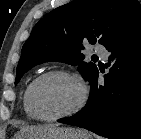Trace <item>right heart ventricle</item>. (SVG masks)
<instances>
[{"label": "right heart ventricle", "instance_id": "obj_1", "mask_svg": "<svg viewBox=\"0 0 141 139\" xmlns=\"http://www.w3.org/2000/svg\"><path fill=\"white\" fill-rule=\"evenodd\" d=\"M29 85L27 86V88L25 89L24 94H23V110H24L25 115L28 118H30V119H36L34 117V115L31 113V111H30V109L28 107V103H27V92H28Z\"/></svg>", "mask_w": 141, "mask_h": 139}]
</instances>
